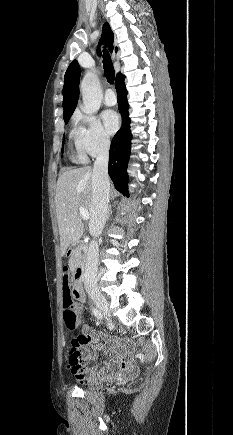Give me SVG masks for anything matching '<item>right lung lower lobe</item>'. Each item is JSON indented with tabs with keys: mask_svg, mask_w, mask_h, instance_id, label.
<instances>
[{
	"mask_svg": "<svg viewBox=\"0 0 233 435\" xmlns=\"http://www.w3.org/2000/svg\"><path fill=\"white\" fill-rule=\"evenodd\" d=\"M125 77L116 78V91L118 95V108L122 113V127L114 136L109 151L108 173L115 188L123 195L128 196L127 164L130 156L132 135L130 132V118L128 114L129 105L127 102V90L124 84Z\"/></svg>",
	"mask_w": 233,
	"mask_h": 435,
	"instance_id": "98d812e1",
	"label": "right lung lower lobe"
}]
</instances>
